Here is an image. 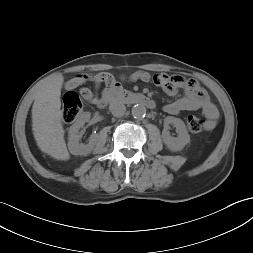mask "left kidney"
<instances>
[{
	"label": "left kidney",
	"instance_id": "1",
	"mask_svg": "<svg viewBox=\"0 0 253 253\" xmlns=\"http://www.w3.org/2000/svg\"><path fill=\"white\" fill-rule=\"evenodd\" d=\"M170 124L176 127L178 137L170 136L168 131ZM162 139L167 148L172 151H180L190 142V136L185 123L181 119L172 116H168L164 119Z\"/></svg>",
	"mask_w": 253,
	"mask_h": 253
}]
</instances>
